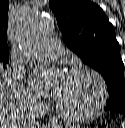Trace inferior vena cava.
Returning a JSON list of instances; mask_svg holds the SVG:
<instances>
[{"mask_svg": "<svg viewBox=\"0 0 125 128\" xmlns=\"http://www.w3.org/2000/svg\"><path fill=\"white\" fill-rule=\"evenodd\" d=\"M29 125L31 127L35 125V119L33 117L31 119H29Z\"/></svg>", "mask_w": 125, "mask_h": 128, "instance_id": "inferior-vena-cava-1", "label": "inferior vena cava"}]
</instances>
